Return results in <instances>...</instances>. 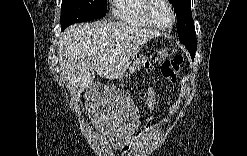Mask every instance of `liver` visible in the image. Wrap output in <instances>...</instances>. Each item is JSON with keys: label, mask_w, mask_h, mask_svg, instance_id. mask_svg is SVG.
Returning a JSON list of instances; mask_svg holds the SVG:
<instances>
[{"label": "liver", "mask_w": 247, "mask_h": 156, "mask_svg": "<svg viewBox=\"0 0 247 156\" xmlns=\"http://www.w3.org/2000/svg\"><path fill=\"white\" fill-rule=\"evenodd\" d=\"M160 33L122 22L74 24L58 41L61 71L73 92H81L95 75L122 78L140 48Z\"/></svg>", "instance_id": "1"}]
</instances>
